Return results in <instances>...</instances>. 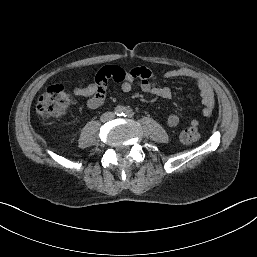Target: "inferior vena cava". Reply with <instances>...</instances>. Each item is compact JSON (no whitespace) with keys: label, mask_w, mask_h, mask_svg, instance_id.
<instances>
[{"label":"inferior vena cava","mask_w":257,"mask_h":257,"mask_svg":"<svg viewBox=\"0 0 257 257\" xmlns=\"http://www.w3.org/2000/svg\"><path fill=\"white\" fill-rule=\"evenodd\" d=\"M115 114L113 112H105L104 114L101 115V121L102 122H107L111 119H113Z\"/></svg>","instance_id":"obj_1"}]
</instances>
